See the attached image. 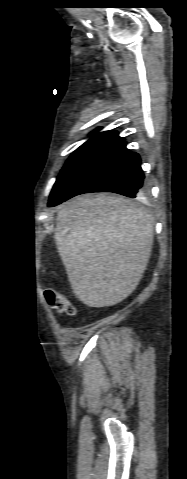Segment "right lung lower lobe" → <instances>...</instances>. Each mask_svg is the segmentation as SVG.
<instances>
[{
    "label": "right lung lower lobe",
    "mask_w": 187,
    "mask_h": 479,
    "mask_svg": "<svg viewBox=\"0 0 187 479\" xmlns=\"http://www.w3.org/2000/svg\"><path fill=\"white\" fill-rule=\"evenodd\" d=\"M137 153L120 143L78 176L49 206H56L69 198L90 192H114L127 197H144L147 188Z\"/></svg>",
    "instance_id": "98d812e1"
}]
</instances>
